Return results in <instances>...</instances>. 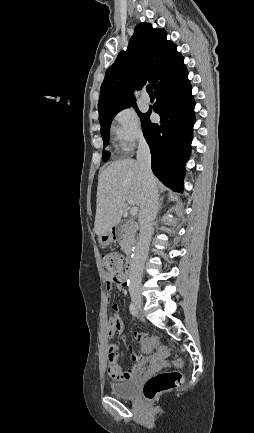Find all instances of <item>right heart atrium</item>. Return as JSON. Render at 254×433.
<instances>
[{
    "label": "right heart atrium",
    "mask_w": 254,
    "mask_h": 433,
    "mask_svg": "<svg viewBox=\"0 0 254 433\" xmlns=\"http://www.w3.org/2000/svg\"><path fill=\"white\" fill-rule=\"evenodd\" d=\"M111 134L120 151L129 153L144 141V132L137 113L131 108L119 110L111 123Z\"/></svg>",
    "instance_id": "obj_1"
}]
</instances>
